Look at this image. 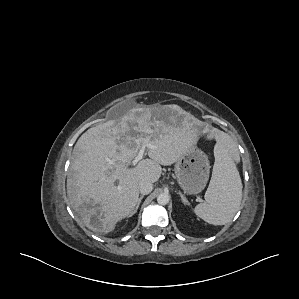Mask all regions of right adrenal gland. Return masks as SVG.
<instances>
[{
    "mask_svg": "<svg viewBox=\"0 0 299 299\" xmlns=\"http://www.w3.org/2000/svg\"><path fill=\"white\" fill-rule=\"evenodd\" d=\"M143 198H144V195H141V196L139 197L138 202H137V205H136L135 209L132 211L131 216L134 215V214L137 212V210H138V208H139V205H140V203H141V201H142Z\"/></svg>",
    "mask_w": 299,
    "mask_h": 299,
    "instance_id": "2a0ac1e0",
    "label": "right adrenal gland"
}]
</instances>
